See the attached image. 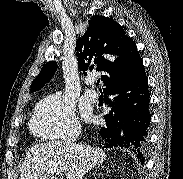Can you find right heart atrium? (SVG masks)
Wrapping results in <instances>:
<instances>
[{"instance_id":"1","label":"right heart atrium","mask_w":183,"mask_h":179,"mask_svg":"<svg viewBox=\"0 0 183 179\" xmlns=\"http://www.w3.org/2000/svg\"><path fill=\"white\" fill-rule=\"evenodd\" d=\"M31 128L45 139H61L76 134L80 123L73 102L61 93L44 97L35 108Z\"/></svg>"}]
</instances>
